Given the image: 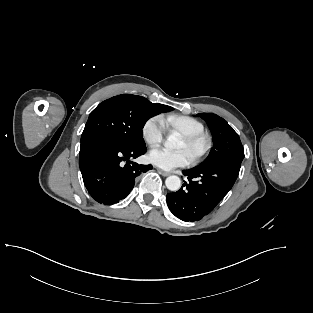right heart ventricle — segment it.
I'll return each instance as SVG.
<instances>
[{
	"label": "right heart ventricle",
	"instance_id": "obj_1",
	"mask_svg": "<svg viewBox=\"0 0 313 313\" xmlns=\"http://www.w3.org/2000/svg\"><path fill=\"white\" fill-rule=\"evenodd\" d=\"M164 126L171 132H178L182 136L204 132V124L191 116L170 114L162 118Z\"/></svg>",
	"mask_w": 313,
	"mask_h": 313
}]
</instances>
